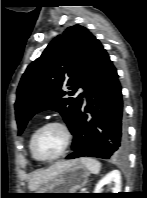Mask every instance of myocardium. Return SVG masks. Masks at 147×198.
<instances>
[{"mask_svg": "<svg viewBox=\"0 0 147 198\" xmlns=\"http://www.w3.org/2000/svg\"><path fill=\"white\" fill-rule=\"evenodd\" d=\"M53 126L58 127L63 131L64 137H65L64 146L58 154H56L50 158H43L40 155H38V153L35 149V141L41 131H43L44 129H46L48 127H53ZM71 141H72V133H71V130L67 124H65L62 121H49V122H46L45 124L41 125L39 128H37L34 131V133L32 134L31 140H30V151L36 160H38L40 162H52V161L60 158L61 156H63L66 153L67 149L69 148V146L71 144Z\"/></svg>", "mask_w": 147, "mask_h": 198, "instance_id": "obj_1", "label": "myocardium"}]
</instances>
